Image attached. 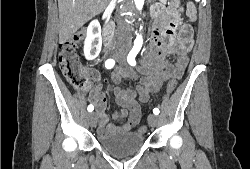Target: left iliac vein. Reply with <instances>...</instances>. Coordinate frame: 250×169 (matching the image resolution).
Here are the masks:
<instances>
[{
    "label": "left iliac vein",
    "mask_w": 250,
    "mask_h": 169,
    "mask_svg": "<svg viewBox=\"0 0 250 169\" xmlns=\"http://www.w3.org/2000/svg\"><path fill=\"white\" fill-rule=\"evenodd\" d=\"M158 121H159V118L155 114H150L148 116V123L150 126H152V127L156 126Z\"/></svg>",
    "instance_id": "obj_1"
}]
</instances>
